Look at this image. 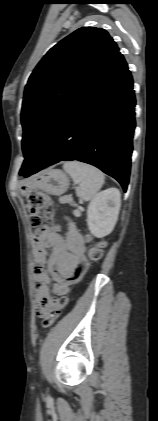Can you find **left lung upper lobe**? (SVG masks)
Instances as JSON below:
<instances>
[{"label":"left lung upper lobe","mask_w":158,"mask_h":421,"mask_svg":"<svg viewBox=\"0 0 158 421\" xmlns=\"http://www.w3.org/2000/svg\"><path fill=\"white\" fill-rule=\"evenodd\" d=\"M118 51L107 31L82 27L58 42L38 63L23 98L25 160L20 175L33 166L63 112Z\"/></svg>","instance_id":"1"}]
</instances>
